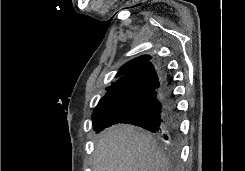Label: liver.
Listing matches in <instances>:
<instances>
[{"instance_id":"1","label":"liver","mask_w":245,"mask_h":171,"mask_svg":"<svg viewBox=\"0 0 245 171\" xmlns=\"http://www.w3.org/2000/svg\"><path fill=\"white\" fill-rule=\"evenodd\" d=\"M152 135L132 125H115L99 135L93 171H171Z\"/></svg>"}]
</instances>
